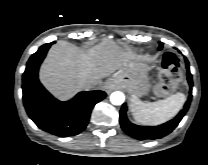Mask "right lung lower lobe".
<instances>
[{"instance_id": "right-lung-lower-lobe-1", "label": "right lung lower lobe", "mask_w": 208, "mask_h": 165, "mask_svg": "<svg viewBox=\"0 0 208 165\" xmlns=\"http://www.w3.org/2000/svg\"><path fill=\"white\" fill-rule=\"evenodd\" d=\"M42 45L27 62L22 77L23 103L28 116L42 130L60 137L77 135L89 121L94 105L106 97L100 90L78 93L61 102L48 93L38 79V70L50 46Z\"/></svg>"}]
</instances>
